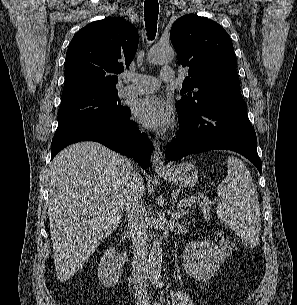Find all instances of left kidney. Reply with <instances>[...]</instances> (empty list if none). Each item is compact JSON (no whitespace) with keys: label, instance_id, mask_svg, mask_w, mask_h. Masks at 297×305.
<instances>
[{"label":"left kidney","instance_id":"1","mask_svg":"<svg viewBox=\"0 0 297 305\" xmlns=\"http://www.w3.org/2000/svg\"><path fill=\"white\" fill-rule=\"evenodd\" d=\"M224 262V253L209 239L189 243L183 257L186 272L200 282L209 281Z\"/></svg>","mask_w":297,"mask_h":305}]
</instances>
